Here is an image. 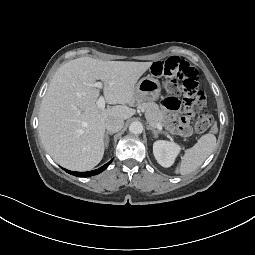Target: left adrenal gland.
I'll use <instances>...</instances> for the list:
<instances>
[{
    "label": "left adrenal gland",
    "instance_id": "1",
    "mask_svg": "<svg viewBox=\"0 0 255 255\" xmlns=\"http://www.w3.org/2000/svg\"><path fill=\"white\" fill-rule=\"evenodd\" d=\"M147 129H148V130H151V131L153 132V134H154L155 137H158V134L160 133V131H157V130L153 129V128H151L150 126H148Z\"/></svg>",
    "mask_w": 255,
    "mask_h": 255
}]
</instances>
